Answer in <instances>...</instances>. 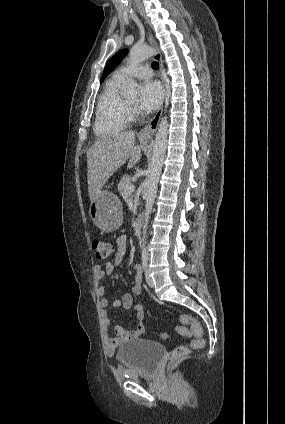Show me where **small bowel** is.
<instances>
[{
  "instance_id": "c3829d8e",
  "label": "small bowel",
  "mask_w": 285,
  "mask_h": 424,
  "mask_svg": "<svg viewBox=\"0 0 285 424\" xmlns=\"http://www.w3.org/2000/svg\"><path fill=\"white\" fill-rule=\"evenodd\" d=\"M116 244V254L112 261L106 262L103 266L102 265H96L95 266V272L97 275V279L99 281V287H98V298H99V304L101 308H106L109 304V300L106 296L105 287L102 283L104 277L106 275L112 274L118 267L121 266L124 255L126 253L127 248V238L125 235L118 236L115 240ZM137 270V275L135 277V282L132 285L131 293H125L123 294L121 299H114L112 301V305L114 307H123L124 309H131L134 308L136 313V318L138 320V324L132 331H126L121 326H115L114 327V334L115 336L113 338H106L103 344L104 351L106 353H112L115 348L122 345L123 343L140 338L144 332H145V326L143 324V320L145 317V311L144 306L142 304H135L133 303V295L137 296L141 292V271L140 267L137 265L135 266ZM103 321L106 326H109L111 324V317L108 314L107 311H103ZM188 337V336H187Z\"/></svg>"
}]
</instances>
